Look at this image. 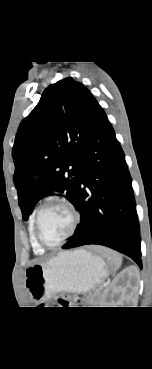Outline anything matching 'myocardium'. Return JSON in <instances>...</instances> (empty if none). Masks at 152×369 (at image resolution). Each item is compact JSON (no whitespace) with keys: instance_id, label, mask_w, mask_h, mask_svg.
Returning <instances> with one entry per match:
<instances>
[{"instance_id":"f54148a6","label":"myocardium","mask_w":152,"mask_h":369,"mask_svg":"<svg viewBox=\"0 0 152 369\" xmlns=\"http://www.w3.org/2000/svg\"><path fill=\"white\" fill-rule=\"evenodd\" d=\"M55 203L61 204L69 210L71 217H72V223H71L69 232L63 238H61L56 243L48 244L42 239L40 235L39 222H40L41 214L44 211V209L48 207L49 205L55 204ZM79 222H80V214L77 208L75 207V205L68 198L64 196H60V195L50 196L40 205V207L35 213L34 220H33V229H34L35 239L42 248H46V249L56 248L62 245L65 241H67L69 238H71L74 235L75 231L78 228Z\"/></svg>"}]
</instances>
